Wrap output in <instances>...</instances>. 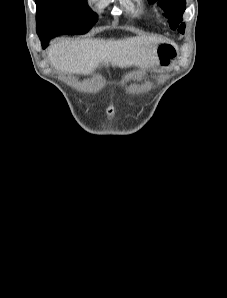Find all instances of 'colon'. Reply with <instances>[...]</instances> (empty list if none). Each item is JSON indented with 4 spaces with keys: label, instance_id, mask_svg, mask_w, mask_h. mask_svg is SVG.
<instances>
[{
    "label": "colon",
    "instance_id": "1",
    "mask_svg": "<svg viewBox=\"0 0 227 298\" xmlns=\"http://www.w3.org/2000/svg\"><path fill=\"white\" fill-rule=\"evenodd\" d=\"M175 54V49L170 44H161L158 48V56L162 65H167Z\"/></svg>",
    "mask_w": 227,
    "mask_h": 298
}]
</instances>
